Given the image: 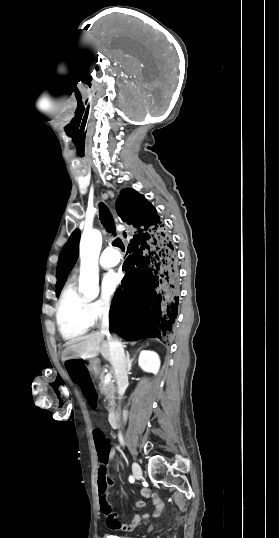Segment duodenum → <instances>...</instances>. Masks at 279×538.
Returning a JSON list of instances; mask_svg holds the SVG:
<instances>
[{"instance_id": "410a0bca", "label": "duodenum", "mask_w": 279, "mask_h": 538, "mask_svg": "<svg viewBox=\"0 0 279 538\" xmlns=\"http://www.w3.org/2000/svg\"><path fill=\"white\" fill-rule=\"evenodd\" d=\"M92 372L94 374L99 373V366L97 364L92 366ZM127 414H129V409H127V406H124V409H115V412H111L109 414V418L107 419V422L110 424V428H118V423L114 422H119L118 418L127 417ZM120 422H128V419H120ZM121 427H126V424H121Z\"/></svg>"}]
</instances>
